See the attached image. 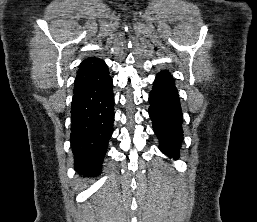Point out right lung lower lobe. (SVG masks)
<instances>
[{"label":"right lung lower lobe","instance_id":"98d812e1","mask_svg":"<svg viewBox=\"0 0 257 222\" xmlns=\"http://www.w3.org/2000/svg\"><path fill=\"white\" fill-rule=\"evenodd\" d=\"M109 73L96 83L74 91L71 107V147L75 170L83 176L101 172L113 133L114 94Z\"/></svg>","mask_w":257,"mask_h":222}]
</instances>
